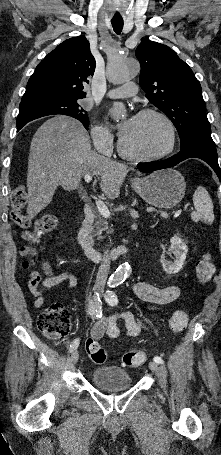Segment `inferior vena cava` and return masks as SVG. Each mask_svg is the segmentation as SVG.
<instances>
[{
	"label": "inferior vena cava",
	"mask_w": 221,
	"mask_h": 455,
	"mask_svg": "<svg viewBox=\"0 0 221 455\" xmlns=\"http://www.w3.org/2000/svg\"><path fill=\"white\" fill-rule=\"evenodd\" d=\"M109 250L104 251V256H103V261L99 267L97 277H96V282H95V287H104L107 277H108V272L110 269V260H109Z\"/></svg>",
	"instance_id": "1"
}]
</instances>
